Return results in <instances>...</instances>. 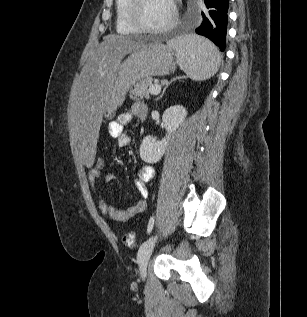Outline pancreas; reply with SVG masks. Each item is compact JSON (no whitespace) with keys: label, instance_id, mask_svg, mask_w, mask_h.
<instances>
[{"label":"pancreas","instance_id":"cf45deb5","mask_svg":"<svg viewBox=\"0 0 307 317\" xmlns=\"http://www.w3.org/2000/svg\"><path fill=\"white\" fill-rule=\"evenodd\" d=\"M152 86V79L145 78L140 80L130 90V98L135 101H139L143 98L149 99V88Z\"/></svg>","mask_w":307,"mask_h":317}]
</instances>
